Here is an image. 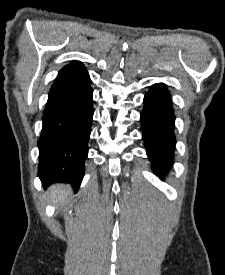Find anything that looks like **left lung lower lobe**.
<instances>
[{
  "mask_svg": "<svg viewBox=\"0 0 225 275\" xmlns=\"http://www.w3.org/2000/svg\"><path fill=\"white\" fill-rule=\"evenodd\" d=\"M143 103L144 109L141 113L143 140L152 169L162 178L167 175L173 164L176 145L171 94L165 84H154L145 95Z\"/></svg>",
  "mask_w": 225,
  "mask_h": 275,
  "instance_id": "left-lung-lower-lobe-1",
  "label": "left lung lower lobe"
}]
</instances>
